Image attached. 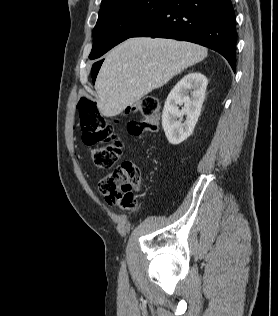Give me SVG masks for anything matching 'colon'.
<instances>
[{"label":"colon","mask_w":278,"mask_h":316,"mask_svg":"<svg viewBox=\"0 0 278 316\" xmlns=\"http://www.w3.org/2000/svg\"><path fill=\"white\" fill-rule=\"evenodd\" d=\"M79 125L83 142L93 146L94 164L110 172L100 181L99 189L109 204L124 210H135L141 191L140 170L132 163L117 164L122 155V142L118 139L114 125L98 111L95 103L83 99L79 103ZM140 119L128 123V131L135 136L154 132L158 128L160 101L146 96L132 110Z\"/></svg>","instance_id":"colon-1"}]
</instances>
